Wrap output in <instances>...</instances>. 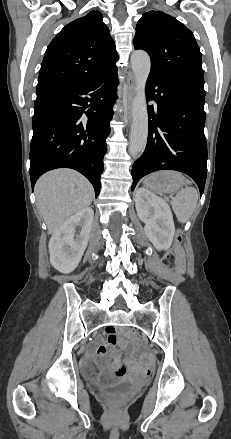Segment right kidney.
<instances>
[{
  "instance_id": "ca27d5eb",
  "label": "right kidney",
  "mask_w": 231,
  "mask_h": 439,
  "mask_svg": "<svg viewBox=\"0 0 231 439\" xmlns=\"http://www.w3.org/2000/svg\"><path fill=\"white\" fill-rule=\"evenodd\" d=\"M93 216L92 208H84L52 235L49 241L50 262L56 270L70 273L78 266L88 245ZM76 227H81V232L75 237Z\"/></svg>"
}]
</instances>
